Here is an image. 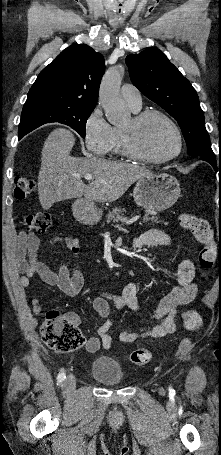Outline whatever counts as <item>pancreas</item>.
<instances>
[{"label":"pancreas","mask_w":221,"mask_h":455,"mask_svg":"<svg viewBox=\"0 0 221 455\" xmlns=\"http://www.w3.org/2000/svg\"><path fill=\"white\" fill-rule=\"evenodd\" d=\"M125 209L121 207H115L112 209V211H109L108 214L106 215L107 222H110L111 220L113 221H126L127 217L124 216ZM144 222H150V224L153 223H160L161 221L159 220L158 217L153 216L151 212H146L144 218Z\"/></svg>","instance_id":"obj_1"}]
</instances>
